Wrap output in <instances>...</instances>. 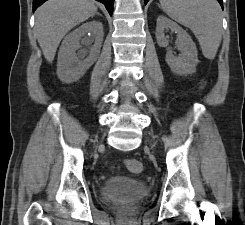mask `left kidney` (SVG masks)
<instances>
[{"label":"left kidney","mask_w":245,"mask_h":225,"mask_svg":"<svg viewBox=\"0 0 245 225\" xmlns=\"http://www.w3.org/2000/svg\"><path fill=\"white\" fill-rule=\"evenodd\" d=\"M170 29L177 34V43L181 54L175 57L168 48L166 53V62L171 71L178 75L192 74L198 63L197 48L190 35L177 23L171 21L167 17L160 15L157 18L156 39L160 47H167L169 40L165 37L164 30Z\"/></svg>","instance_id":"1"}]
</instances>
